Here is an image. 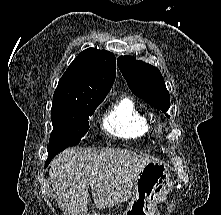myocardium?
Returning a JSON list of instances; mask_svg holds the SVG:
<instances>
[{"mask_svg": "<svg viewBox=\"0 0 221 215\" xmlns=\"http://www.w3.org/2000/svg\"><path fill=\"white\" fill-rule=\"evenodd\" d=\"M155 132H156L157 134H161V133H162V127H161V126H157V127L155 128Z\"/></svg>", "mask_w": 221, "mask_h": 215, "instance_id": "obj_1", "label": "myocardium"}]
</instances>
